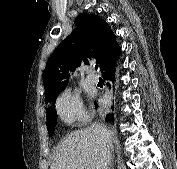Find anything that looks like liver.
Returning a JSON list of instances; mask_svg holds the SVG:
<instances>
[{
	"instance_id": "1",
	"label": "liver",
	"mask_w": 177,
	"mask_h": 169,
	"mask_svg": "<svg viewBox=\"0 0 177 169\" xmlns=\"http://www.w3.org/2000/svg\"><path fill=\"white\" fill-rule=\"evenodd\" d=\"M100 145L92 129L69 134L60 144L50 169H101Z\"/></svg>"
}]
</instances>
